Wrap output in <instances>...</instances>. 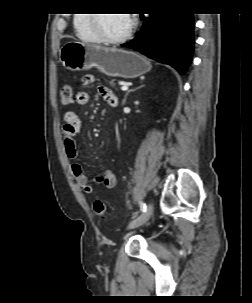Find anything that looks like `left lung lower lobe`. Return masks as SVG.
Here are the masks:
<instances>
[{
	"instance_id": "0a47b994",
	"label": "left lung lower lobe",
	"mask_w": 252,
	"mask_h": 303,
	"mask_svg": "<svg viewBox=\"0 0 252 303\" xmlns=\"http://www.w3.org/2000/svg\"><path fill=\"white\" fill-rule=\"evenodd\" d=\"M143 21L144 24L137 36L121 46L169 64L184 74L193 55V15L152 14Z\"/></svg>"
}]
</instances>
